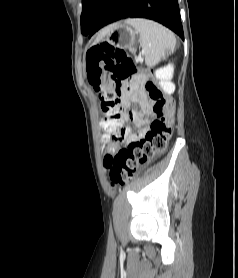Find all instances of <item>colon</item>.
I'll use <instances>...</instances> for the list:
<instances>
[{
    "instance_id": "1",
    "label": "colon",
    "mask_w": 238,
    "mask_h": 278,
    "mask_svg": "<svg viewBox=\"0 0 238 278\" xmlns=\"http://www.w3.org/2000/svg\"><path fill=\"white\" fill-rule=\"evenodd\" d=\"M86 70L90 85L100 101L104 115L102 126L106 135H113L119 128L120 97L123 85L135 78L143 82L155 119L140 141L129 143L121 150L108 149L104 164L112 185L128 183L139 168L162 154L172 136L175 104L171 97L163 94L156 86L150 70L139 69L130 53L107 42L91 47L86 53Z\"/></svg>"
}]
</instances>
